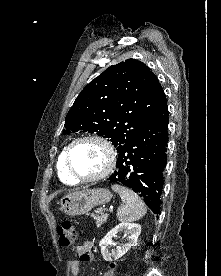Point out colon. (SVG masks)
<instances>
[{
    "mask_svg": "<svg viewBox=\"0 0 221 276\" xmlns=\"http://www.w3.org/2000/svg\"><path fill=\"white\" fill-rule=\"evenodd\" d=\"M57 232L60 246L70 247L75 243L77 233L73 224L70 221L61 222L58 226ZM115 269L116 265L112 263L104 276H114Z\"/></svg>",
    "mask_w": 221,
    "mask_h": 276,
    "instance_id": "obj_1",
    "label": "colon"
}]
</instances>
